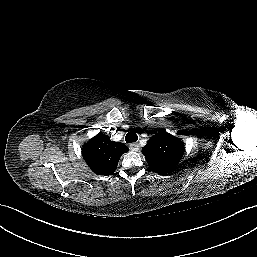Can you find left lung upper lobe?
<instances>
[{"label":"left lung upper lobe","mask_w":257,"mask_h":257,"mask_svg":"<svg viewBox=\"0 0 257 257\" xmlns=\"http://www.w3.org/2000/svg\"><path fill=\"white\" fill-rule=\"evenodd\" d=\"M183 152L184 143L166 131L151 137L142 149L150 168L160 174L170 172L179 162Z\"/></svg>","instance_id":"obj_1"}]
</instances>
